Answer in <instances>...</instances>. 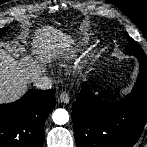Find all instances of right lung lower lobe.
<instances>
[{"label": "right lung lower lobe", "mask_w": 147, "mask_h": 147, "mask_svg": "<svg viewBox=\"0 0 147 147\" xmlns=\"http://www.w3.org/2000/svg\"><path fill=\"white\" fill-rule=\"evenodd\" d=\"M55 107V90H29L0 104V147H43L44 124Z\"/></svg>", "instance_id": "obj_1"}]
</instances>
